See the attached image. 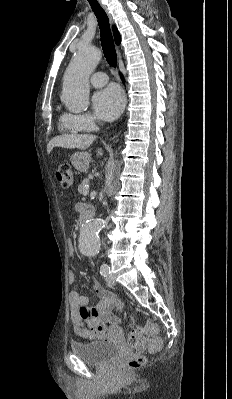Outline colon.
<instances>
[{"instance_id":"colon-1","label":"colon","mask_w":232,"mask_h":399,"mask_svg":"<svg viewBox=\"0 0 232 399\" xmlns=\"http://www.w3.org/2000/svg\"><path fill=\"white\" fill-rule=\"evenodd\" d=\"M69 163H56V182L59 185H75L73 171H66ZM156 321H147L146 326H139L138 330H130L131 340H121L122 353H146V341H149L151 328H156ZM145 359L139 355H122L120 362L121 374H132L137 365H144Z\"/></svg>"}]
</instances>
